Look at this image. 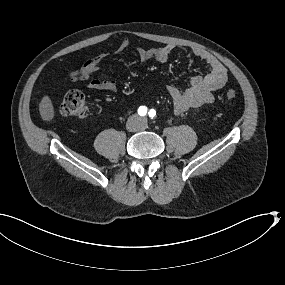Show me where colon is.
<instances>
[{"mask_svg": "<svg viewBox=\"0 0 285 285\" xmlns=\"http://www.w3.org/2000/svg\"><path fill=\"white\" fill-rule=\"evenodd\" d=\"M72 79L82 80L83 73L81 70L74 71L71 74ZM236 97V92L229 89L226 92V98L232 100ZM60 115L71 118H85L88 114V107L84 95L77 90L67 92L58 108Z\"/></svg>", "mask_w": 285, "mask_h": 285, "instance_id": "1", "label": "colon"}]
</instances>
